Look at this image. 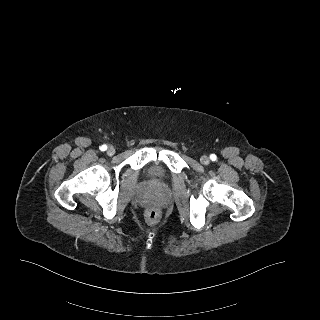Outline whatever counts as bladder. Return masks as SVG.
<instances>
[{
	"label": "bladder",
	"instance_id": "obj_1",
	"mask_svg": "<svg viewBox=\"0 0 320 320\" xmlns=\"http://www.w3.org/2000/svg\"><path fill=\"white\" fill-rule=\"evenodd\" d=\"M157 174H158V172H157L156 170H152V171L150 172V175H151L152 177L157 176Z\"/></svg>",
	"mask_w": 320,
	"mask_h": 320
}]
</instances>
